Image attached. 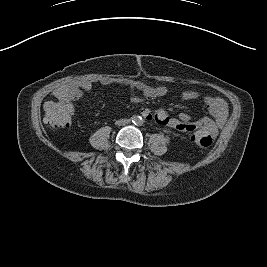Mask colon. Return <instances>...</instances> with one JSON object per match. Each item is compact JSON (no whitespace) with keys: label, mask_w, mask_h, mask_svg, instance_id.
I'll return each instance as SVG.
<instances>
[{"label":"colon","mask_w":267,"mask_h":267,"mask_svg":"<svg viewBox=\"0 0 267 267\" xmlns=\"http://www.w3.org/2000/svg\"><path fill=\"white\" fill-rule=\"evenodd\" d=\"M62 100V99H61ZM64 103L65 101L62 100ZM44 122L48 128L57 130L70 126L71 117L63 105L56 101H48L44 104ZM213 136L200 131H195L192 135V141L199 147H208L211 145Z\"/></svg>","instance_id":"colon-1"}]
</instances>
